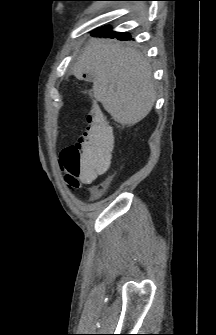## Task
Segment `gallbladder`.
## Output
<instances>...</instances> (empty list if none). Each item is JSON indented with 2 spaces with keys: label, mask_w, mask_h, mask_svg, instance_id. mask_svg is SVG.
<instances>
[{
  "label": "gallbladder",
  "mask_w": 216,
  "mask_h": 335,
  "mask_svg": "<svg viewBox=\"0 0 216 335\" xmlns=\"http://www.w3.org/2000/svg\"><path fill=\"white\" fill-rule=\"evenodd\" d=\"M92 79V76L91 75H88V77H87V81H90Z\"/></svg>",
  "instance_id": "obj_1"
}]
</instances>
